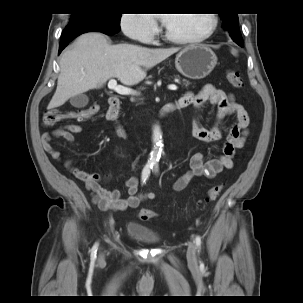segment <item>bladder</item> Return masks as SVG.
Wrapping results in <instances>:
<instances>
[{"label": "bladder", "mask_w": 303, "mask_h": 303, "mask_svg": "<svg viewBox=\"0 0 303 303\" xmlns=\"http://www.w3.org/2000/svg\"><path fill=\"white\" fill-rule=\"evenodd\" d=\"M127 234L129 237L148 245L159 244L162 240L161 237L150 228L137 222L128 224Z\"/></svg>", "instance_id": "obj_1"}]
</instances>
